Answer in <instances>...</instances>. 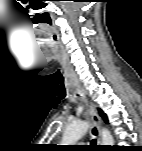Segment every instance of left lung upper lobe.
Here are the masks:
<instances>
[{"instance_id":"1","label":"left lung upper lobe","mask_w":142,"mask_h":151,"mask_svg":"<svg viewBox=\"0 0 142 151\" xmlns=\"http://www.w3.org/2000/svg\"><path fill=\"white\" fill-rule=\"evenodd\" d=\"M99 113H100V115L102 116V118L104 119V121H105L106 123H108V119H107L106 114H105L101 109H99Z\"/></svg>"}]
</instances>
